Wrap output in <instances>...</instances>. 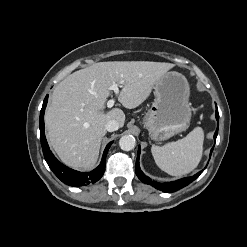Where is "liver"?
<instances>
[{"label":"liver","instance_id":"liver-1","mask_svg":"<svg viewBox=\"0 0 247 247\" xmlns=\"http://www.w3.org/2000/svg\"><path fill=\"white\" fill-rule=\"evenodd\" d=\"M174 64L150 61H109L78 70L53 90L45 113L47 138L59 159L66 165L89 170L98 160L105 125L117 120L124 125L119 108L104 112L110 86L122 88L118 101L128 109L141 105L155 83Z\"/></svg>","mask_w":247,"mask_h":247}]
</instances>
